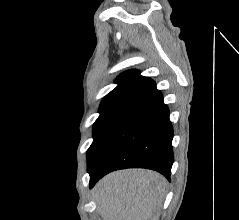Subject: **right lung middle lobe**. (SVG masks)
Masks as SVG:
<instances>
[{
  "label": "right lung middle lobe",
  "mask_w": 239,
  "mask_h": 220,
  "mask_svg": "<svg viewBox=\"0 0 239 220\" xmlns=\"http://www.w3.org/2000/svg\"><path fill=\"white\" fill-rule=\"evenodd\" d=\"M130 109L131 107H119L100 113L93 126V143L87 151L88 172L96 166Z\"/></svg>",
  "instance_id": "1"
}]
</instances>
